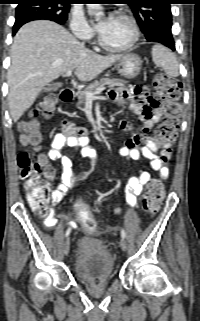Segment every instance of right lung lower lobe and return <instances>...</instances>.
<instances>
[{
	"mask_svg": "<svg viewBox=\"0 0 200 321\" xmlns=\"http://www.w3.org/2000/svg\"><path fill=\"white\" fill-rule=\"evenodd\" d=\"M40 19H47L50 20L47 16L43 15H30L26 17L19 18L15 21L13 26V35L17 32V30L25 23L33 21V20H40Z\"/></svg>",
	"mask_w": 200,
	"mask_h": 321,
	"instance_id": "1",
	"label": "right lung lower lobe"
}]
</instances>
